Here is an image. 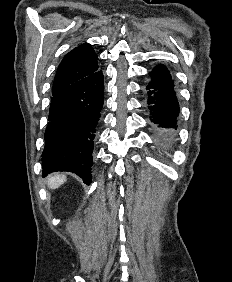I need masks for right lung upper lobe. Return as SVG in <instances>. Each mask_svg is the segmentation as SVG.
Instances as JSON below:
<instances>
[{"instance_id":"1","label":"right lung upper lobe","mask_w":232,"mask_h":282,"mask_svg":"<svg viewBox=\"0 0 232 282\" xmlns=\"http://www.w3.org/2000/svg\"><path fill=\"white\" fill-rule=\"evenodd\" d=\"M96 71H98V56L90 44H82L64 56L55 75L52 93Z\"/></svg>"}]
</instances>
